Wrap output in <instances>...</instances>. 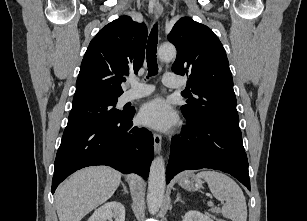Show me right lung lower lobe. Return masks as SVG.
Returning a JSON list of instances; mask_svg holds the SVG:
<instances>
[{"label": "right lung lower lobe", "mask_w": 307, "mask_h": 221, "mask_svg": "<svg viewBox=\"0 0 307 221\" xmlns=\"http://www.w3.org/2000/svg\"><path fill=\"white\" fill-rule=\"evenodd\" d=\"M135 111L63 134L54 163L52 190L73 172L91 165H108L145 179L153 159V135L133 126Z\"/></svg>", "instance_id": "1"}]
</instances>
